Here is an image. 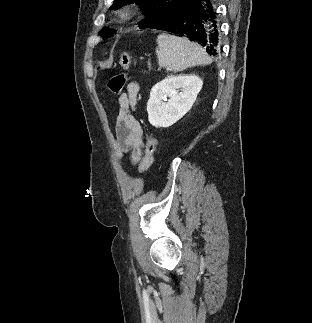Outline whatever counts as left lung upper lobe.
<instances>
[{"label": "left lung upper lobe", "instance_id": "obj_1", "mask_svg": "<svg viewBox=\"0 0 312 323\" xmlns=\"http://www.w3.org/2000/svg\"><path fill=\"white\" fill-rule=\"evenodd\" d=\"M130 2L140 5L144 12H146V17L138 23L140 29H154L171 11L170 6L174 0H114L111 9H119L124 4ZM102 35L104 38H108L112 36V33L107 32V28L105 27L102 30Z\"/></svg>", "mask_w": 312, "mask_h": 323}]
</instances>
